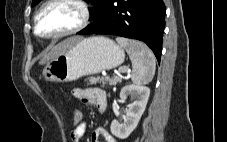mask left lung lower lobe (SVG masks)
<instances>
[{
  "label": "left lung lower lobe",
  "mask_w": 227,
  "mask_h": 142,
  "mask_svg": "<svg viewBox=\"0 0 227 142\" xmlns=\"http://www.w3.org/2000/svg\"><path fill=\"white\" fill-rule=\"evenodd\" d=\"M166 8L163 0H107L94 22L77 34H110L145 42L161 57Z\"/></svg>",
  "instance_id": "1"
}]
</instances>
